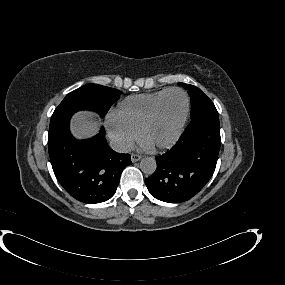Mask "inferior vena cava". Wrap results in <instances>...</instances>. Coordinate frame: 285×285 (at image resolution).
<instances>
[{"mask_svg": "<svg viewBox=\"0 0 285 285\" xmlns=\"http://www.w3.org/2000/svg\"><path fill=\"white\" fill-rule=\"evenodd\" d=\"M109 146L118 153H129L133 150V143L121 137L112 138Z\"/></svg>", "mask_w": 285, "mask_h": 285, "instance_id": "inferior-vena-cava-1", "label": "inferior vena cava"}]
</instances>
